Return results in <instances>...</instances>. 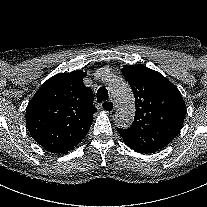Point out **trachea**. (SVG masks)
<instances>
[{"instance_id": "obj_1", "label": "trachea", "mask_w": 207, "mask_h": 207, "mask_svg": "<svg viewBox=\"0 0 207 207\" xmlns=\"http://www.w3.org/2000/svg\"><path fill=\"white\" fill-rule=\"evenodd\" d=\"M108 100V92L106 90V88L104 87H100L97 91V101L98 102H104L103 103V107L107 106L108 104H110L109 102H107Z\"/></svg>"}]
</instances>
